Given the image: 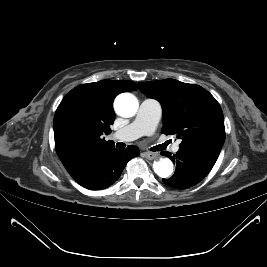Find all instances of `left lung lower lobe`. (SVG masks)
<instances>
[{
  "label": "left lung lower lobe",
  "mask_w": 267,
  "mask_h": 267,
  "mask_svg": "<svg viewBox=\"0 0 267 267\" xmlns=\"http://www.w3.org/2000/svg\"><path fill=\"white\" fill-rule=\"evenodd\" d=\"M161 154L167 156L176 164L174 175L162 181L176 189H186L200 182L214 166L218 155L201 150L180 149L174 155L164 151Z\"/></svg>",
  "instance_id": "1"
}]
</instances>
